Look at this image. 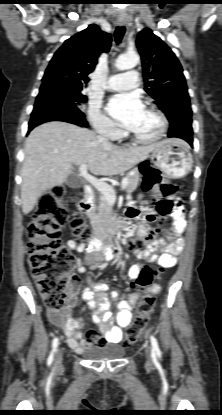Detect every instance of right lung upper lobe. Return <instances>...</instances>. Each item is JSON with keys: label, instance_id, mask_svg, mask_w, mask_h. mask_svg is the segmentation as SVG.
Wrapping results in <instances>:
<instances>
[{"label": "right lung upper lobe", "instance_id": "cb5924a9", "mask_svg": "<svg viewBox=\"0 0 222 415\" xmlns=\"http://www.w3.org/2000/svg\"><path fill=\"white\" fill-rule=\"evenodd\" d=\"M111 40L109 33L94 24L67 39L51 59L42 86L56 84L83 89L101 53L109 51Z\"/></svg>", "mask_w": 222, "mask_h": 415}]
</instances>
